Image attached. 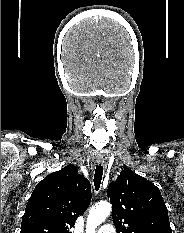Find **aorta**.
I'll list each match as a JSON object with an SVG mask.
<instances>
[{
  "mask_svg": "<svg viewBox=\"0 0 184 233\" xmlns=\"http://www.w3.org/2000/svg\"><path fill=\"white\" fill-rule=\"evenodd\" d=\"M111 212V205L108 202H101L91 208L87 223L86 233H95L97 226L102 224Z\"/></svg>",
  "mask_w": 184,
  "mask_h": 233,
  "instance_id": "1",
  "label": "aorta"
}]
</instances>
